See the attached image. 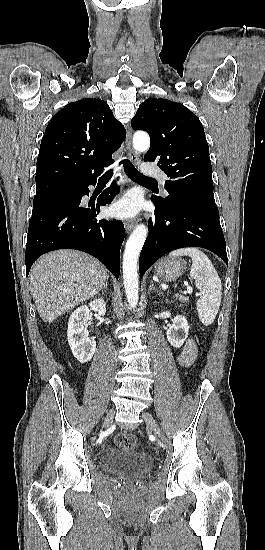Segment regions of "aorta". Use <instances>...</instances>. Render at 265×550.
Instances as JSON below:
<instances>
[{"mask_svg":"<svg viewBox=\"0 0 265 550\" xmlns=\"http://www.w3.org/2000/svg\"><path fill=\"white\" fill-rule=\"evenodd\" d=\"M150 146L148 134L138 132L133 137V147L136 151L146 152ZM148 229L144 224L138 225L131 233L123 254V280L128 303L136 307L139 299V280L137 262L140 251L147 237Z\"/></svg>","mask_w":265,"mask_h":550,"instance_id":"obj_1","label":"aorta"}]
</instances>
